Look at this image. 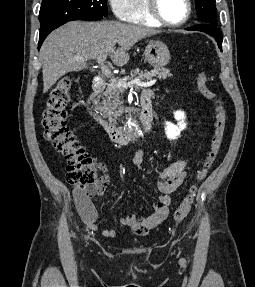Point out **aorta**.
Instances as JSON below:
<instances>
[{
    "instance_id": "aorta-1",
    "label": "aorta",
    "mask_w": 255,
    "mask_h": 287,
    "mask_svg": "<svg viewBox=\"0 0 255 287\" xmlns=\"http://www.w3.org/2000/svg\"><path fill=\"white\" fill-rule=\"evenodd\" d=\"M128 133L131 139H135L140 136L141 130L137 125L135 119H130L128 121Z\"/></svg>"
}]
</instances>
